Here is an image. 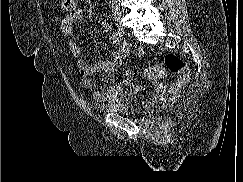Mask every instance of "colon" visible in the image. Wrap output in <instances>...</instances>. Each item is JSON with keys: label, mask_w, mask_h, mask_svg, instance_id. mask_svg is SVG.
Segmentation results:
<instances>
[{"label": "colon", "mask_w": 243, "mask_h": 182, "mask_svg": "<svg viewBox=\"0 0 243 182\" xmlns=\"http://www.w3.org/2000/svg\"><path fill=\"white\" fill-rule=\"evenodd\" d=\"M59 6L67 12H74L77 8V0H59ZM167 73L178 76V79L172 84L171 91H177L183 88L190 79V73L184 61L173 53H168L164 57L163 64H154L144 70V75L148 79L158 80Z\"/></svg>", "instance_id": "1"}]
</instances>
